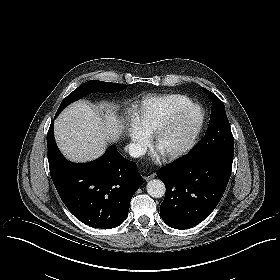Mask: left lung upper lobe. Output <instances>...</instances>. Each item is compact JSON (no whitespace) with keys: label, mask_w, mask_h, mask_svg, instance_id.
I'll list each match as a JSON object with an SVG mask.
<instances>
[{"label":"left lung upper lobe","mask_w":280,"mask_h":280,"mask_svg":"<svg viewBox=\"0 0 280 280\" xmlns=\"http://www.w3.org/2000/svg\"><path fill=\"white\" fill-rule=\"evenodd\" d=\"M212 101L209 126L203 139L191 150L190 155L225 154L233 157L234 138L223 102L203 88Z\"/></svg>","instance_id":"1"}]
</instances>
